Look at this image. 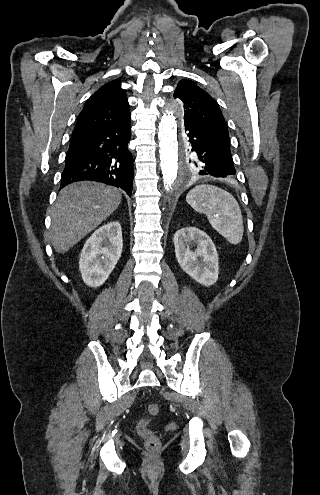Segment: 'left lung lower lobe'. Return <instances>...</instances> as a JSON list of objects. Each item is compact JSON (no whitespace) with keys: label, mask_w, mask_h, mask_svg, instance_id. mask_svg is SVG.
<instances>
[{"label":"left lung lower lobe","mask_w":320,"mask_h":495,"mask_svg":"<svg viewBox=\"0 0 320 495\" xmlns=\"http://www.w3.org/2000/svg\"><path fill=\"white\" fill-rule=\"evenodd\" d=\"M183 127L188 143L200 152V176L227 177L235 174L230 146L191 119H184Z\"/></svg>","instance_id":"left-lung-lower-lobe-1"}]
</instances>
